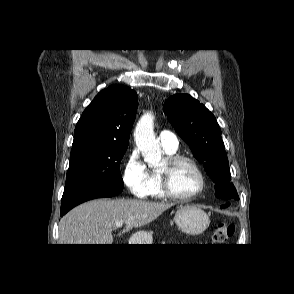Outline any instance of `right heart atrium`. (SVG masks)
Instances as JSON below:
<instances>
[{
  "mask_svg": "<svg viewBox=\"0 0 294 294\" xmlns=\"http://www.w3.org/2000/svg\"><path fill=\"white\" fill-rule=\"evenodd\" d=\"M122 180L129 192L137 198L149 196L152 175L136 148L122 161Z\"/></svg>",
  "mask_w": 294,
  "mask_h": 294,
  "instance_id": "d8ad5b80",
  "label": "right heart atrium"
}]
</instances>
